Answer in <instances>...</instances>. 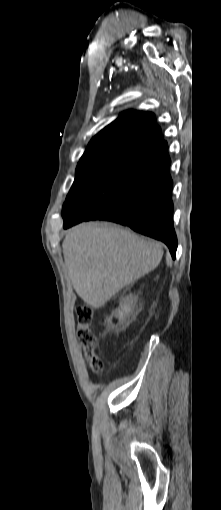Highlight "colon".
I'll use <instances>...</instances> for the list:
<instances>
[{
    "mask_svg": "<svg viewBox=\"0 0 221 510\" xmlns=\"http://www.w3.org/2000/svg\"><path fill=\"white\" fill-rule=\"evenodd\" d=\"M76 314L80 327L78 337L84 346V355L89 369L93 373H99L103 368V361L95 352L98 341L95 333L91 329L94 320V310L90 306H79L76 310Z\"/></svg>",
    "mask_w": 221,
    "mask_h": 510,
    "instance_id": "1",
    "label": "colon"
}]
</instances>
